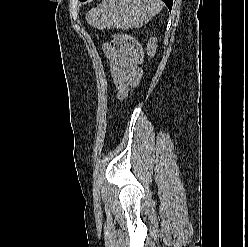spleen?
Segmentation results:
<instances>
[{
    "label": "spleen",
    "mask_w": 248,
    "mask_h": 247,
    "mask_svg": "<svg viewBox=\"0 0 248 247\" xmlns=\"http://www.w3.org/2000/svg\"><path fill=\"white\" fill-rule=\"evenodd\" d=\"M161 10V0H102L86 14V21L100 30H127L141 27Z\"/></svg>",
    "instance_id": "obj_1"
}]
</instances>
